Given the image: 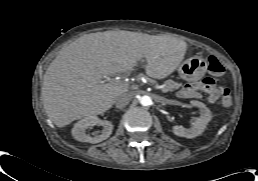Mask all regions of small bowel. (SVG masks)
Returning a JSON list of instances; mask_svg holds the SVG:
<instances>
[{
    "label": "small bowel",
    "mask_w": 258,
    "mask_h": 181,
    "mask_svg": "<svg viewBox=\"0 0 258 181\" xmlns=\"http://www.w3.org/2000/svg\"><path fill=\"white\" fill-rule=\"evenodd\" d=\"M207 96L209 103H215L222 94V89L217 88L212 78H205L199 83L185 85L178 93L181 98L200 99L202 95Z\"/></svg>",
    "instance_id": "1"
}]
</instances>
